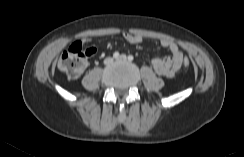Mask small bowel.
<instances>
[{"mask_svg":"<svg viewBox=\"0 0 244 157\" xmlns=\"http://www.w3.org/2000/svg\"><path fill=\"white\" fill-rule=\"evenodd\" d=\"M124 39L130 44H140L143 41L140 35L131 33H125ZM159 42L162 47L170 51L171 55L167 58H153L151 59V65L158 75L171 78L181 68L183 53L178 45L170 38H162Z\"/></svg>","mask_w":244,"mask_h":157,"instance_id":"c3829d8e","label":"small bowel"}]
</instances>
